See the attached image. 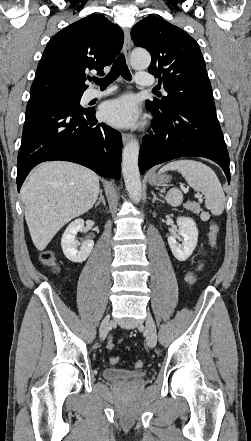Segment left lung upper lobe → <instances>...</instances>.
<instances>
[{
  "mask_svg": "<svg viewBox=\"0 0 251 441\" xmlns=\"http://www.w3.org/2000/svg\"><path fill=\"white\" fill-rule=\"evenodd\" d=\"M131 37L135 45L150 52L148 72L159 77L168 93L161 99L147 100L146 106L167 111L186 102L213 101L199 45L185 31L162 18L148 16L133 26Z\"/></svg>",
  "mask_w": 251,
  "mask_h": 441,
  "instance_id": "obj_1",
  "label": "left lung upper lobe"
}]
</instances>
